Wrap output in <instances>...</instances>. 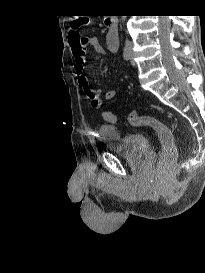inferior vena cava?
Returning <instances> with one entry per match:
<instances>
[{
  "label": "inferior vena cava",
  "instance_id": "1",
  "mask_svg": "<svg viewBox=\"0 0 205 273\" xmlns=\"http://www.w3.org/2000/svg\"><path fill=\"white\" fill-rule=\"evenodd\" d=\"M126 44L128 45V46H131V43L127 40L126 41Z\"/></svg>",
  "mask_w": 205,
  "mask_h": 273
}]
</instances>
